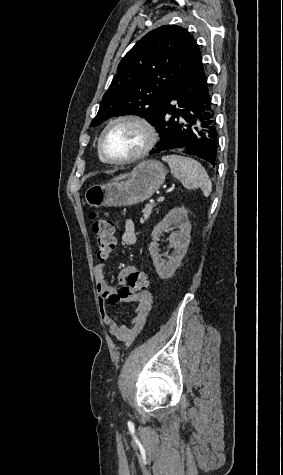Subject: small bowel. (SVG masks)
I'll list each match as a JSON object with an SVG mask.
<instances>
[{
    "label": "small bowel",
    "instance_id": "small-bowel-1",
    "mask_svg": "<svg viewBox=\"0 0 283 475\" xmlns=\"http://www.w3.org/2000/svg\"><path fill=\"white\" fill-rule=\"evenodd\" d=\"M122 243L126 246H132L137 242L135 224L127 219L124 223ZM130 267L121 269L119 279H126L130 274ZM95 290L97 294L98 308L103 321L108 325L110 334L117 340L129 346L142 331L147 318L153 308V297L150 291H141L140 296H132L131 301L138 303L137 308L129 322L115 320L107 310V304H120L119 291L117 288L108 284L104 276V264L99 263L94 267Z\"/></svg>",
    "mask_w": 283,
    "mask_h": 475
}]
</instances>
